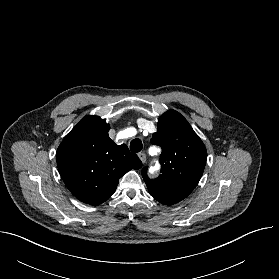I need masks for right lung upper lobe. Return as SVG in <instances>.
<instances>
[{
  "label": "right lung upper lobe",
  "instance_id": "cb5924a9",
  "mask_svg": "<svg viewBox=\"0 0 279 279\" xmlns=\"http://www.w3.org/2000/svg\"><path fill=\"white\" fill-rule=\"evenodd\" d=\"M109 125L98 116H85L57 150V165L69 191L80 201L97 206L114 194L119 179L142 162L125 144L108 136Z\"/></svg>",
  "mask_w": 279,
  "mask_h": 279
}]
</instances>
